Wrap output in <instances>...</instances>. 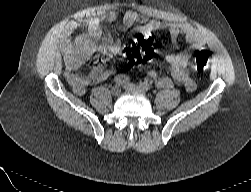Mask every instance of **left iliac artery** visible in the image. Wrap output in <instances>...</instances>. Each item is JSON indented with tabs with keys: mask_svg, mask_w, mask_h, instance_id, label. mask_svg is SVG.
<instances>
[{
	"mask_svg": "<svg viewBox=\"0 0 251 192\" xmlns=\"http://www.w3.org/2000/svg\"><path fill=\"white\" fill-rule=\"evenodd\" d=\"M140 87L144 90H150L151 89V82L145 81L140 83Z\"/></svg>",
	"mask_w": 251,
	"mask_h": 192,
	"instance_id": "1",
	"label": "left iliac artery"
}]
</instances>
